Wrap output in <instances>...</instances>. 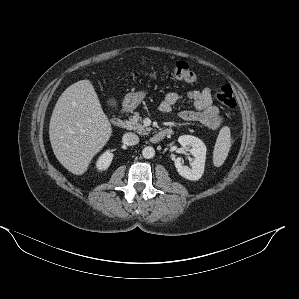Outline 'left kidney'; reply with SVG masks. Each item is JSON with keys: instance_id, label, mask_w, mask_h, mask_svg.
Segmentation results:
<instances>
[{"instance_id": "1", "label": "left kidney", "mask_w": 299, "mask_h": 299, "mask_svg": "<svg viewBox=\"0 0 299 299\" xmlns=\"http://www.w3.org/2000/svg\"><path fill=\"white\" fill-rule=\"evenodd\" d=\"M178 142L183 148L194 156L191 162V167L185 166L181 158H176L174 161L177 172L184 178L192 181L200 179L204 173L206 160V146L199 138L192 135H182L178 138Z\"/></svg>"}]
</instances>
